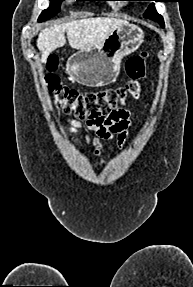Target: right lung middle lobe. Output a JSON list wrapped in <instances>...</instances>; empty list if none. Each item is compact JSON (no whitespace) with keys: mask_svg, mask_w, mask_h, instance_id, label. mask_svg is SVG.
Segmentation results:
<instances>
[{"mask_svg":"<svg viewBox=\"0 0 193 287\" xmlns=\"http://www.w3.org/2000/svg\"><path fill=\"white\" fill-rule=\"evenodd\" d=\"M62 1L63 0H50L51 2L50 7L41 13L38 21L41 22L46 19H49L52 16H55L60 11V5ZM77 1H96V0H77Z\"/></svg>","mask_w":193,"mask_h":287,"instance_id":"1","label":"right lung middle lobe"}]
</instances>
